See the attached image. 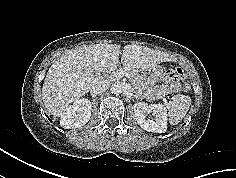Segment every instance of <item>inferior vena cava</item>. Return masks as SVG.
<instances>
[{
    "mask_svg": "<svg viewBox=\"0 0 236 178\" xmlns=\"http://www.w3.org/2000/svg\"><path fill=\"white\" fill-rule=\"evenodd\" d=\"M108 88H109V83L107 81L103 80V81L95 84L91 88L90 92L93 95H97V94H101V93L105 92Z\"/></svg>",
    "mask_w": 236,
    "mask_h": 178,
    "instance_id": "1",
    "label": "inferior vena cava"
}]
</instances>
